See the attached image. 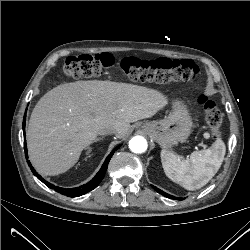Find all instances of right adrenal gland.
Segmentation results:
<instances>
[{"label": "right adrenal gland", "mask_w": 250, "mask_h": 250, "mask_svg": "<svg viewBox=\"0 0 250 250\" xmlns=\"http://www.w3.org/2000/svg\"><path fill=\"white\" fill-rule=\"evenodd\" d=\"M103 138H104V137H99V138H97L94 142H97V141L103 140ZM91 151H92V148H87V152H86V154H89Z\"/></svg>", "instance_id": "right-adrenal-gland-1"}]
</instances>
